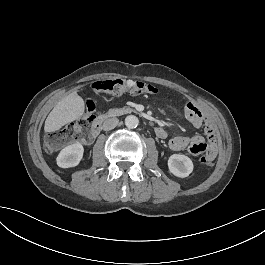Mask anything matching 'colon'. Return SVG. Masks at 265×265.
Segmentation results:
<instances>
[{
    "label": "colon",
    "mask_w": 265,
    "mask_h": 265,
    "mask_svg": "<svg viewBox=\"0 0 265 265\" xmlns=\"http://www.w3.org/2000/svg\"><path fill=\"white\" fill-rule=\"evenodd\" d=\"M92 89L97 93H106L114 97L124 94H151L156 91L153 84L143 81H131L126 79H98L92 83ZM85 125V122L81 120ZM76 137V131L72 125H68L58 131L48 135L46 139L47 149L52 152L64 143L70 142ZM200 163L205 166L212 165L211 159L207 158V154L203 155Z\"/></svg>",
    "instance_id": "5ec220e1"
}]
</instances>
